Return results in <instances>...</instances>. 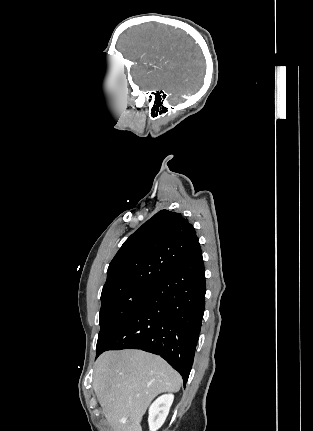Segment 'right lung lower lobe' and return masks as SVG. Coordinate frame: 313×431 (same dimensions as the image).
Here are the masks:
<instances>
[{
    "label": "right lung lower lobe",
    "instance_id": "right-lung-lower-lobe-1",
    "mask_svg": "<svg viewBox=\"0 0 313 431\" xmlns=\"http://www.w3.org/2000/svg\"><path fill=\"white\" fill-rule=\"evenodd\" d=\"M200 244L128 316L97 350L141 349L160 355L188 380L205 308Z\"/></svg>",
    "mask_w": 313,
    "mask_h": 431
}]
</instances>
